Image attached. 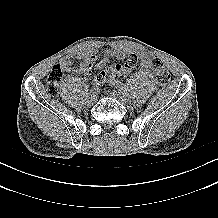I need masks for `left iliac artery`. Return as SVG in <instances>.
<instances>
[{"label": "left iliac artery", "mask_w": 218, "mask_h": 218, "mask_svg": "<svg viewBox=\"0 0 218 218\" xmlns=\"http://www.w3.org/2000/svg\"><path fill=\"white\" fill-rule=\"evenodd\" d=\"M115 87L118 88L120 90L121 93H125L126 89L123 88L122 85H119L118 83H114Z\"/></svg>", "instance_id": "obj_1"}]
</instances>
